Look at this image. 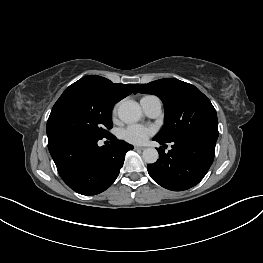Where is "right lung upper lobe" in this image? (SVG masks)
I'll list each match as a JSON object with an SVG mask.
<instances>
[{
  "instance_id": "obj_1",
  "label": "right lung upper lobe",
  "mask_w": 263,
  "mask_h": 263,
  "mask_svg": "<svg viewBox=\"0 0 263 263\" xmlns=\"http://www.w3.org/2000/svg\"><path fill=\"white\" fill-rule=\"evenodd\" d=\"M137 86L138 84H116L104 77L89 75L76 81L66 90L77 87L84 88L115 104L130 95L133 91H136Z\"/></svg>"
}]
</instances>
